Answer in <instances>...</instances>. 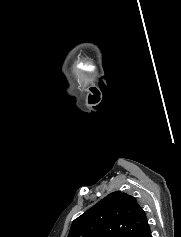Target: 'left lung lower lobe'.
Returning a JSON list of instances; mask_svg holds the SVG:
<instances>
[{
    "mask_svg": "<svg viewBox=\"0 0 181 237\" xmlns=\"http://www.w3.org/2000/svg\"><path fill=\"white\" fill-rule=\"evenodd\" d=\"M140 237H152L151 230H150L149 226L143 231V233L141 234Z\"/></svg>",
    "mask_w": 181,
    "mask_h": 237,
    "instance_id": "1",
    "label": "left lung lower lobe"
}]
</instances>
